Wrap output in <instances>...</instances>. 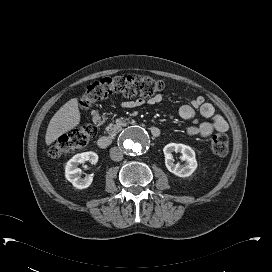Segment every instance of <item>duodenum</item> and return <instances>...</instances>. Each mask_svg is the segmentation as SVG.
I'll use <instances>...</instances> for the list:
<instances>
[{
  "label": "duodenum",
  "instance_id": "410a0bca",
  "mask_svg": "<svg viewBox=\"0 0 272 272\" xmlns=\"http://www.w3.org/2000/svg\"><path fill=\"white\" fill-rule=\"evenodd\" d=\"M94 118L96 120H99L98 112H96L94 114ZM128 125H129V122H126V121L122 124L123 127H126ZM149 131H150L151 135L155 138L159 137L161 134L160 129L154 125L149 127ZM113 140H114V136H112V135L101 136L97 141V145H98V147L104 149V148L109 147L112 144Z\"/></svg>",
  "mask_w": 272,
  "mask_h": 272
}]
</instances>
